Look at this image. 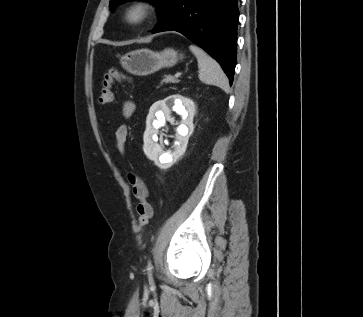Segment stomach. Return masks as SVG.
Instances as JSON below:
<instances>
[{
    "label": "stomach",
    "instance_id": "0dacf381",
    "mask_svg": "<svg viewBox=\"0 0 363 317\" xmlns=\"http://www.w3.org/2000/svg\"><path fill=\"white\" fill-rule=\"evenodd\" d=\"M183 59L182 54L171 48L155 52L150 49H138L126 53L120 59L122 67L133 75L146 76L162 68L172 67L179 60Z\"/></svg>",
    "mask_w": 363,
    "mask_h": 317
}]
</instances>
